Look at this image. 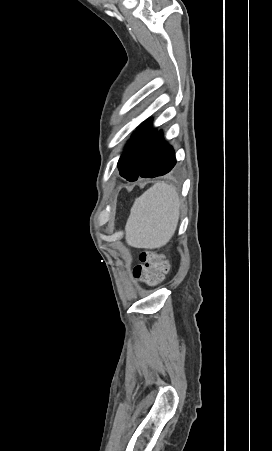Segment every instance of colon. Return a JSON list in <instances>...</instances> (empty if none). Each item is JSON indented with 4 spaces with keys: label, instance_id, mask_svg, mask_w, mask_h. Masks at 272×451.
Here are the masks:
<instances>
[{
    "label": "colon",
    "instance_id": "1",
    "mask_svg": "<svg viewBox=\"0 0 272 451\" xmlns=\"http://www.w3.org/2000/svg\"><path fill=\"white\" fill-rule=\"evenodd\" d=\"M139 259L141 263L136 265L132 271L134 278L139 283L158 284L170 271L169 262L153 252H141Z\"/></svg>",
    "mask_w": 272,
    "mask_h": 451
}]
</instances>
